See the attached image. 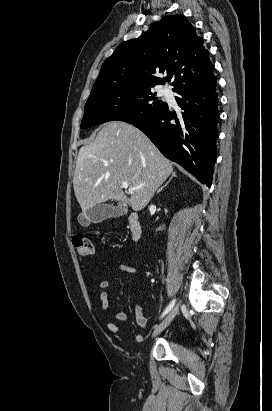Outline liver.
Here are the masks:
<instances>
[{"label":"liver","mask_w":272,"mask_h":411,"mask_svg":"<svg viewBox=\"0 0 272 411\" xmlns=\"http://www.w3.org/2000/svg\"><path fill=\"white\" fill-rule=\"evenodd\" d=\"M172 171V163L143 132L124 122H109L92 143L80 148L74 192L83 212L109 200L140 211ZM123 182L129 187L143 186L129 191L128 198Z\"/></svg>","instance_id":"6515ba94"}]
</instances>
